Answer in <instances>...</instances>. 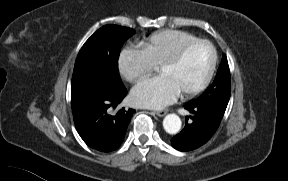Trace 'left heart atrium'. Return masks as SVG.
Instances as JSON below:
<instances>
[{
    "label": "left heart atrium",
    "mask_w": 288,
    "mask_h": 181,
    "mask_svg": "<svg viewBox=\"0 0 288 181\" xmlns=\"http://www.w3.org/2000/svg\"><path fill=\"white\" fill-rule=\"evenodd\" d=\"M179 93L167 77L160 75L136 85L132 90L131 97L137 106L159 109L172 103Z\"/></svg>",
    "instance_id": "1"
}]
</instances>
